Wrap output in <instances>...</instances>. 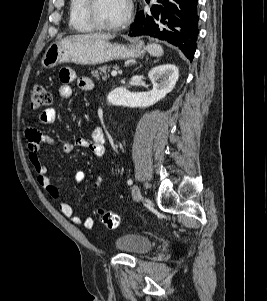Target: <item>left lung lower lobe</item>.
I'll use <instances>...</instances> for the list:
<instances>
[{
  "mask_svg": "<svg viewBox=\"0 0 267 301\" xmlns=\"http://www.w3.org/2000/svg\"><path fill=\"white\" fill-rule=\"evenodd\" d=\"M151 13H137L129 36H150L177 46L192 60L198 35V0H157Z\"/></svg>",
  "mask_w": 267,
  "mask_h": 301,
  "instance_id": "left-lung-lower-lobe-1",
  "label": "left lung lower lobe"
}]
</instances>
